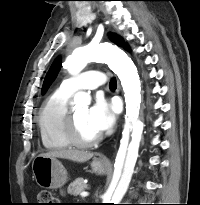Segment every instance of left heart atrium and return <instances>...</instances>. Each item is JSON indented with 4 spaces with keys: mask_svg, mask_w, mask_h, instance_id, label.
I'll return each instance as SVG.
<instances>
[{
    "mask_svg": "<svg viewBox=\"0 0 200 205\" xmlns=\"http://www.w3.org/2000/svg\"><path fill=\"white\" fill-rule=\"evenodd\" d=\"M117 108L103 97H98L88 111V119L92 127L99 133L112 128L115 123Z\"/></svg>",
    "mask_w": 200,
    "mask_h": 205,
    "instance_id": "left-heart-atrium-1",
    "label": "left heart atrium"
}]
</instances>
